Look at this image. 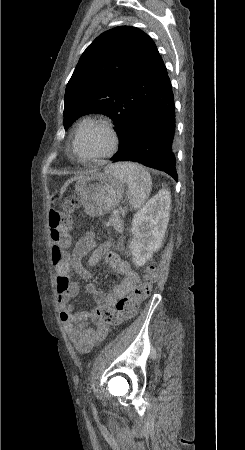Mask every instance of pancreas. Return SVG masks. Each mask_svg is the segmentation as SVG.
Listing matches in <instances>:
<instances>
[{
  "label": "pancreas",
  "mask_w": 245,
  "mask_h": 450,
  "mask_svg": "<svg viewBox=\"0 0 245 450\" xmlns=\"http://www.w3.org/2000/svg\"><path fill=\"white\" fill-rule=\"evenodd\" d=\"M109 224H111L114 227V229L116 230L117 233H122L124 226H123V220L121 219L119 214H114L109 219Z\"/></svg>",
  "instance_id": "cf45deb5"
}]
</instances>
